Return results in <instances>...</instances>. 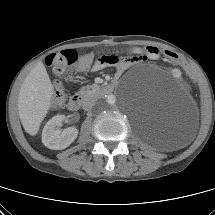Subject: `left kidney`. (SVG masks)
Wrapping results in <instances>:
<instances>
[{
  "instance_id": "left-kidney-1",
  "label": "left kidney",
  "mask_w": 215,
  "mask_h": 215,
  "mask_svg": "<svg viewBox=\"0 0 215 215\" xmlns=\"http://www.w3.org/2000/svg\"><path fill=\"white\" fill-rule=\"evenodd\" d=\"M174 76L178 78V83L180 85H185L187 83V78L183 76V71L181 69H176L174 71Z\"/></svg>"
}]
</instances>
